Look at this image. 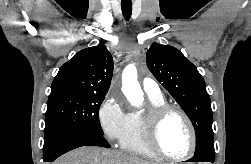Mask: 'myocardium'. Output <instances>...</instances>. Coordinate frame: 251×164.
<instances>
[{
    "label": "myocardium",
    "mask_w": 251,
    "mask_h": 164,
    "mask_svg": "<svg viewBox=\"0 0 251 164\" xmlns=\"http://www.w3.org/2000/svg\"><path fill=\"white\" fill-rule=\"evenodd\" d=\"M171 113H177L178 115H180L186 122L188 129L190 131V136H191L190 149L184 156L181 157H171L167 155L163 151L159 141L161 126L166 117ZM143 120L145 125V135L147 143L150 149L159 158L170 162H182L190 159L194 155L197 147L196 130L190 117L181 108L167 103L159 106H150L148 110L143 114Z\"/></svg>",
    "instance_id": "1"
}]
</instances>
